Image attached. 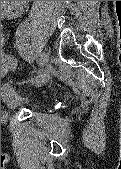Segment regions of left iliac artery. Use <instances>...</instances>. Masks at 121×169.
<instances>
[{
	"mask_svg": "<svg viewBox=\"0 0 121 169\" xmlns=\"http://www.w3.org/2000/svg\"><path fill=\"white\" fill-rule=\"evenodd\" d=\"M27 25L28 24H24L22 26L18 27V34H16V47L17 50L19 51V54H21V58H24V61H29L30 63L31 61V56L32 53V46H27V42H23L24 40V35H25V31H27ZM30 51V52H29ZM42 70H44V65H42V63H40V65H37V69H34V74H42ZM37 77L31 78V82H33Z\"/></svg>",
	"mask_w": 121,
	"mask_h": 169,
	"instance_id": "left-iliac-artery-1",
	"label": "left iliac artery"
}]
</instances>
